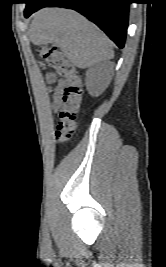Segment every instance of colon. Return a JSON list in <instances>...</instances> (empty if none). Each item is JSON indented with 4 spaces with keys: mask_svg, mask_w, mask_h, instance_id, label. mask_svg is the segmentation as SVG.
Here are the masks:
<instances>
[{
    "mask_svg": "<svg viewBox=\"0 0 166 267\" xmlns=\"http://www.w3.org/2000/svg\"><path fill=\"white\" fill-rule=\"evenodd\" d=\"M40 54L45 64L65 79L55 130V139L57 143L62 144L71 138L76 128V118L83 98L82 78L75 66L68 61L57 46L43 48ZM47 80L54 82L55 75L49 74Z\"/></svg>",
    "mask_w": 166,
    "mask_h": 267,
    "instance_id": "1",
    "label": "colon"
}]
</instances>
